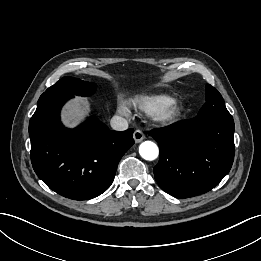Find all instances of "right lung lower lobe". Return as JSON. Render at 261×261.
<instances>
[{"label":"right lung lower lobe","mask_w":261,"mask_h":261,"mask_svg":"<svg viewBox=\"0 0 261 261\" xmlns=\"http://www.w3.org/2000/svg\"><path fill=\"white\" fill-rule=\"evenodd\" d=\"M67 93H43L29 122L31 162L37 176L56 193L74 200L92 199L112 184L118 163L134 144L133 129L117 132L90 117L65 128L60 109Z\"/></svg>","instance_id":"1"}]
</instances>
